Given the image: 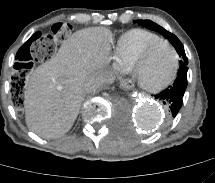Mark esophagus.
Masks as SVG:
<instances>
[{"mask_svg": "<svg viewBox=\"0 0 215 183\" xmlns=\"http://www.w3.org/2000/svg\"><path fill=\"white\" fill-rule=\"evenodd\" d=\"M121 88L124 89V90H127V89L130 88V85H129L127 82H123V83L121 84Z\"/></svg>", "mask_w": 215, "mask_h": 183, "instance_id": "1", "label": "esophagus"}]
</instances>
